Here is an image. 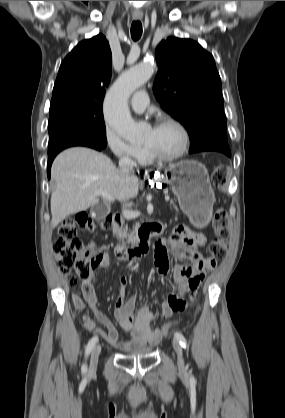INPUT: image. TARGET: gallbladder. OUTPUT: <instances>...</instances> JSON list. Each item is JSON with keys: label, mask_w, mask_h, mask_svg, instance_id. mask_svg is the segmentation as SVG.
Wrapping results in <instances>:
<instances>
[{"label": "gallbladder", "mask_w": 285, "mask_h": 418, "mask_svg": "<svg viewBox=\"0 0 285 418\" xmlns=\"http://www.w3.org/2000/svg\"><path fill=\"white\" fill-rule=\"evenodd\" d=\"M93 212L95 213V218H103L109 213V208L104 204H98L93 207Z\"/></svg>", "instance_id": "bac80fb5"}]
</instances>
